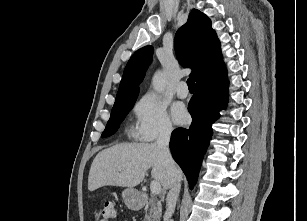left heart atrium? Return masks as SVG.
Returning a JSON list of instances; mask_svg holds the SVG:
<instances>
[{"label": "left heart atrium", "instance_id": "left-heart-atrium-1", "mask_svg": "<svg viewBox=\"0 0 307 221\" xmlns=\"http://www.w3.org/2000/svg\"><path fill=\"white\" fill-rule=\"evenodd\" d=\"M172 116L177 124H183L188 118L186 109L181 104H175L172 107Z\"/></svg>", "mask_w": 307, "mask_h": 221}]
</instances>
